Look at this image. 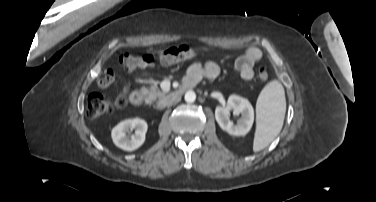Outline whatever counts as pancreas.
<instances>
[{"label":"pancreas","instance_id":"cf45deb5","mask_svg":"<svg viewBox=\"0 0 376 202\" xmlns=\"http://www.w3.org/2000/svg\"><path fill=\"white\" fill-rule=\"evenodd\" d=\"M144 91L147 93L148 102L156 101L158 98H165L166 95V92L161 91L157 86H153L150 89H144Z\"/></svg>","mask_w":376,"mask_h":202}]
</instances>
